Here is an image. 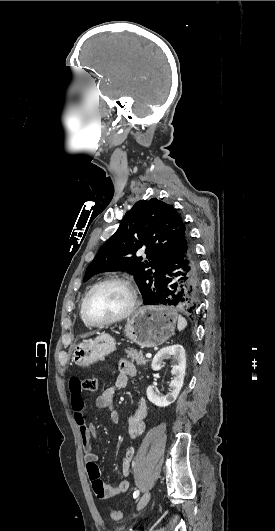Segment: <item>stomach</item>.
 Returning <instances> with one entry per match:
<instances>
[{"label": "stomach", "mask_w": 275, "mask_h": 531, "mask_svg": "<svg viewBox=\"0 0 275 531\" xmlns=\"http://www.w3.org/2000/svg\"><path fill=\"white\" fill-rule=\"evenodd\" d=\"M176 321L177 313L168 301H151L148 307H142L131 319H127L124 333L136 345L152 349L172 337ZM115 345L111 335L102 333L94 341L74 345L72 361L78 367H90L96 361H104L106 355L115 351Z\"/></svg>", "instance_id": "0dacf381"}]
</instances>
